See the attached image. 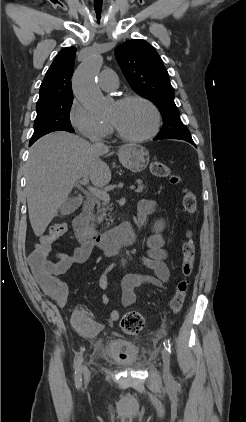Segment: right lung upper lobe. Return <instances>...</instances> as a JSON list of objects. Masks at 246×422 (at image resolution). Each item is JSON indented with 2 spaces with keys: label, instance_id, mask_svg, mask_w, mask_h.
Here are the masks:
<instances>
[{
  "label": "right lung upper lobe",
  "instance_id": "cb5924a9",
  "mask_svg": "<svg viewBox=\"0 0 246 422\" xmlns=\"http://www.w3.org/2000/svg\"><path fill=\"white\" fill-rule=\"evenodd\" d=\"M75 55V47H66L57 54L40 86V96L36 108L60 99L73 98L71 77Z\"/></svg>",
  "mask_w": 246,
  "mask_h": 422
}]
</instances>
